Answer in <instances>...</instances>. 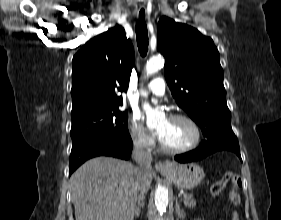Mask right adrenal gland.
<instances>
[{
    "mask_svg": "<svg viewBox=\"0 0 281 220\" xmlns=\"http://www.w3.org/2000/svg\"><path fill=\"white\" fill-rule=\"evenodd\" d=\"M144 196L143 195H139L138 198H137V205L135 207V216L136 217H139L140 215V211H141V208L144 207Z\"/></svg>",
    "mask_w": 281,
    "mask_h": 220,
    "instance_id": "2a0ac1e0",
    "label": "right adrenal gland"
}]
</instances>
